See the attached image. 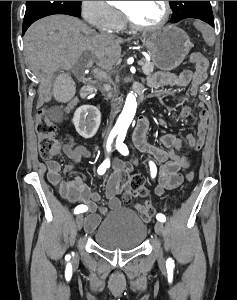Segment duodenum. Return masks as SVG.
<instances>
[{
    "label": "duodenum",
    "mask_w": 237,
    "mask_h": 300,
    "mask_svg": "<svg viewBox=\"0 0 237 300\" xmlns=\"http://www.w3.org/2000/svg\"><path fill=\"white\" fill-rule=\"evenodd\" d=\"M93 94V88L90 85H85L82 88L81 95L84 99H90Z\"/></svg>",
    "instance_id": "duodenum-1"
}]
</instances>
